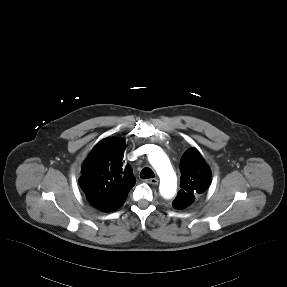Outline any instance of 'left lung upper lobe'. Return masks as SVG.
Here are the masks:
<instances>
[{
    "label": "left lung upper lobe",
    "mask_w": 287,
    "mask_h": 287,
    "mask_svg": "<svg viewBox=\"0 0 287 287\" xmlns=\"http://www.w3.org/2000/svg\"><path fill=\"white\" fill-rule=\"evenodd\" d=\"M181 190L173 201L177 209L191 205L195 197L205 192L211 182V171L205 160L195 148L188 149L180 161Z\"/></svg>",
    "instance_id": "obj_1"
}]
</instances>
